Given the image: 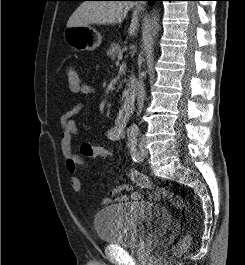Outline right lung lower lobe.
<instances>
[{
    "label": "right lung lower lobe",
    "instance_id": "right-lung-lower-lobe-1",
    "mask_svg": "<svg viewBox=\"0 0 245 265\" xmlns=\"http://www.w3.org/2000/svg\"><path fill=\"white\" fill-rule=\"evenodd\" d=\"M127 1H148L149 4H152L154 1H160V0H127Z\"/></svg>",
    "mask_w": 245,
    "mask_h": 265
}]
</instances>
